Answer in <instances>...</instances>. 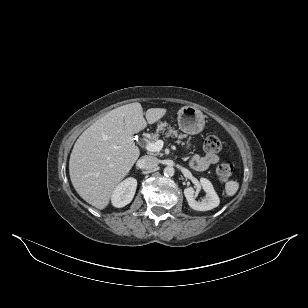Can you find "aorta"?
<instances>
[{
    "label": "aorta",
    "instance_id": "aorta-1",
    "mask_svg": "<svg viewBox=\"0 0 308 308\" xmlns=\"http://www.w3.org/2000/svg\"><path fill=\"white\" fill-rule=\"evenodd\" d=\"M163 172L166 177H171L174 175L175 170L172 166H167L164 168Z\"/></svg>",
    "mask_w": 308,
    "mask_h": 308
}]
</instances>
